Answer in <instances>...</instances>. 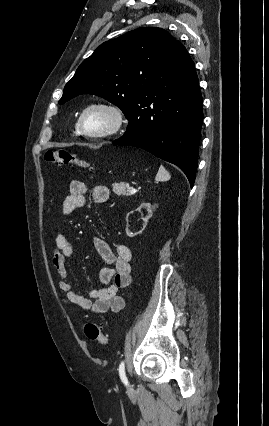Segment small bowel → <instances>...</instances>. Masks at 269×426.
Masks as SVG:
<instances>
[{"mask_svg":"<svg viewBox=\"0 0 269 426\" xmlns=\"http://www.w3.org/2000/svg\"><path fill=\"white\" fill-rule=\"evenodd\" d=\"M87 192L88 186L84 182L72 181L69 185V195L62 203V214L67 216L74 210L83 208L86 205ZM92 196L96 203L103 204L109 200L110 192L106 186H96L92 190ZM94 246L105 263L98 276L102 286L91 289L87 296H83L73 289L66 265V260L75 252L74 244L65 235H57L52 263L60 277L58 288L65 294L62 303L95 313L119 312L125 305L119 292L129 286L132 280L131 250L126 245L119 244L113 251L110 245L98 236L94 238Z\"/></svg>","mask_w":269,"mask_h":426,"instance_id":"1","label":"small bowel"}]
</instances>
